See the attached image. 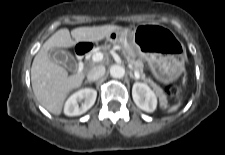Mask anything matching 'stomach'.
I'll return each instance as SVG.
<instances>
[{
    "label": "stomach",
    "mask_w": 225,
    "mask_h": 155,
    "mask_svg": "<svg viewBox=\"0 0 225 155\" xmlns=\"http://www.w3.org/2000/svg\"><path fill=\"white\" fill-rule=\"evenodd\" d=\"M106 39L120 42L128 55L146 60L163 77L174 79L183 70V46L165 26L140 24L113 32Z\"/></svg>",
    "instance_id": "stomach-1"
}]
</instances>
